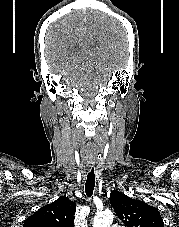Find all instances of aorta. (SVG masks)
Returning <instances> with one entry per match:
<instances>
[{
  "label": "aorta",
  "instance_id": "762f6f07",
  "mask_svg": "<svg viewBox=\"0 0 179 227\" xmlns=\"http://www.w3.org/2000/svg\"><path fill=\"white\" fill-rule=\"evenodd\" d=\"M114 219V215L110 210L98 212L93 221V227H110Z\"/></svg>",
  "mask_w": 179,
  "mask_h": 227
}]
</instances>
